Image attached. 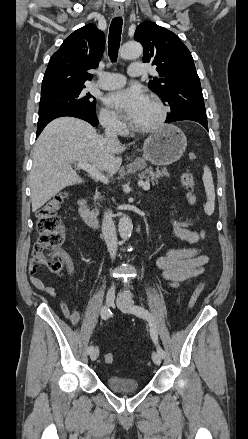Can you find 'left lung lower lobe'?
<instances>
[{"label":"left lung lower lobe","mask_w":248,"mask_h":439,"mask_svg":"<svg viewBox=\"0 0 248 439\" xmlns=\"http://www.w3.org/2000/svg\"><path fill=\"white\" fill-rule=\"evenodd\" d=\"M182 120H190V121L198 122L203 127H205L206 130H208L207 116L204 113L191 112V111L182 112L172 117H168L165 122L171 123V122L182 121Z\"/></svg>","instance_id":"0a47b994"}]
</instances>
